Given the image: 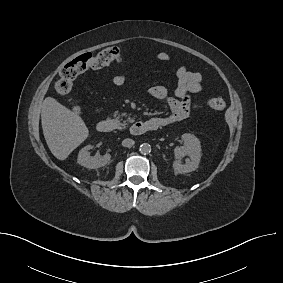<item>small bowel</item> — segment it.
<instances>
[{"instance_id":"small-bowel-1","label":"small bowel","mask_w":283,"mask_h":283,"mask_svg":"<svg viewBox=\"0 0 283 283\" xmlns=\"http://www.w3.org/2000/svg\"><path fill=\"white\" fill-rule=\"evenodd\" d=\"M171 58L167 52H160L156 59L160 62L169 61ZM177 84L173 95L162 85H155L149 89V95L158 100L167 102L170 114L156 119L160 127L182 121L189 117L195 105L190 98V93H200L203 90L202 76L198 72H193L185 66H180L176 70ZM126 81L124 73L114 72L111 83L114 87L122 86Z\"/></svg>"}]
</instances>
